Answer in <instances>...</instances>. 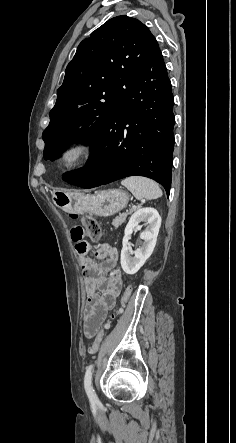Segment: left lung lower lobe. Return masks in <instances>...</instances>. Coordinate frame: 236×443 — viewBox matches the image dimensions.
Returning <instances> with one entry per match:
<instances>
[{"instance_id": "left-lung-lower-lobe-1", "label": "left lung lower lobe", "mask_w": 236, "mask_h": 443, "mask_svg": "<svg viewBox=\"0 0 236 443\" xmlns=\"http://www.w3.org/2000/svg\"><path fill=\"white\" fill-rule=\"evenodd\" d=\"M174 98L157 45L116 109L91 141L87 165L63 175L83 188L128 176H145L171 187Z\"/></svg>"}]
</instances>
